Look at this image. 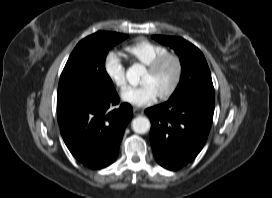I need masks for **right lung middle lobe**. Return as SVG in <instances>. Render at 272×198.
Wrapping results in <instances>:
<instances>
[{
	"label": "right lung middle lobe",
	"instance_id": "1",
	"mask_svg": "<svg viewBox=\"0 0 272 198\" xmlns=\"http://www.w3.org/2000/svg\"><path fill=\"white\" fill-rule=\"evenodd\" d=\"M128 35L97 32L81 40L71 53L60 77L57 104L82 97H106L115 92L105 70L110 48Z\"/></svg>",
	"mask_w": 272,
	"mask_h": 198
}]
</instances>
